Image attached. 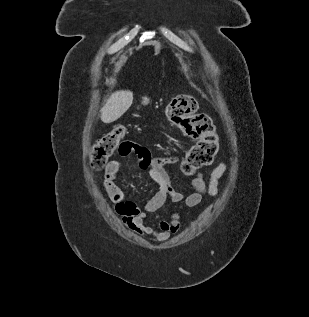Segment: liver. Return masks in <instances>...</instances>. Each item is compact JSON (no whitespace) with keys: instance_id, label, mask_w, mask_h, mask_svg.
<instances>
[{"instance_id":"6515ba94","label":"liver","mask_w":309,"mask_h":317,"mask_svg":"<svg viewBox=\"0 0 309 317\" xmlns=\"http://www.w3.org/2000/svg\"><path fill=\"white\" fill-rule=\"evenodd\" d=\"M133 93L129 90H120L112 93L101 109V120L111 123L119 119L132 105Z\"/></svg>"}]
</instances>
